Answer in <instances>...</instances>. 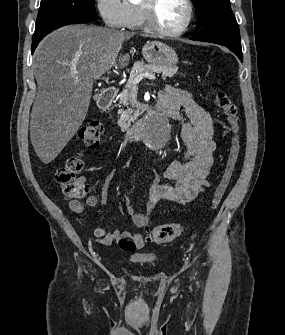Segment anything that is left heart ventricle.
<instances>
[{
	"label": "left heart ventricle",
	"mask_w": 285,
	"mask_h": 335,
	"mask_svg": "<svg viewBox=\"0 0 285 335\" xmlns=\"http://www.w3.org/2000/svg\"><path fill=\"white\" fill-rule=\"evenodd\" d=\"M187 18V10L179 1H157L155 20L167 30L180 28Z\"/></svg>",
	"instance_id": "b2bd125f"
}]
</instances>
